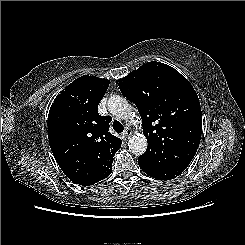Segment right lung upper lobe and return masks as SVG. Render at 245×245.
<instances>
[{
    "label": "right lung upper lobe",
    "instance_id": "right-lung-upper-lobe-1",
    "mask_svg": "<svg viewBox=\"0 0 245 245\" xmlns=\"http://www.w3.org/2000/svg\"><path fill=\"white\" fill-rule=\"evenodd\" d=\"M110 81L82 76L55 98L48 115L50 148L60 167H73L79 184L90 186L102 180L96 161L111 155L122 141L111 135V117L101 116L98 105Z\"/></svg>",
    "mask_w": 245,
    "mask_h": 245
}]
</instances>
